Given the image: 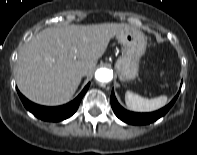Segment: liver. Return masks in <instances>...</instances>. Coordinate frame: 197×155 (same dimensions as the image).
I'll return each instance as SVG.
<instances>
[{
    "instance_id": "liver-1",
    "label": "liver",
    "mask_w": 197,
    "mask_h": 155,
    "mask_svg": "<svg viewBox=\"0 0 197 155\" xmlns=\"http://www.w3.org/2000/svg\"><path fill=\"white\" fill-rule=\"evenodd\" d=\"M124 24L70 25L40 31L24 45L16 81L29 100L47 106L64 104L77 90L86 70L90 76L110 39Z\"/></svg>"
}]
</instances>
